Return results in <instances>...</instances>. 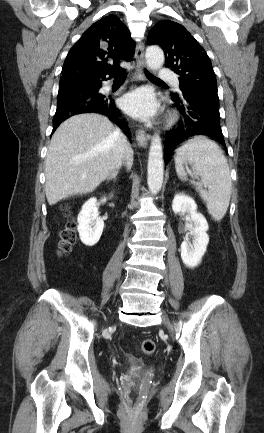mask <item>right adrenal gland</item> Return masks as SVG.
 <instances>
[{"label": "right adrenal gland", "mask_w": 264, "mask_h": 433, "mask_svg": "<svg viewBox=\"0 0 264 433\" xmlns=\"http://www.w3.org/2000/svg\"><path fill=\"white\" fill-rule=\"evenodd\" d=\"M118 173H119L118 170H116L114 173H112V174L107 178L106 182H109V181L112 180V179L115 181V180L117 179L116 177H117Z\"/></svg>", "instance_id": "2a0ac1e0"}]
</instances>
